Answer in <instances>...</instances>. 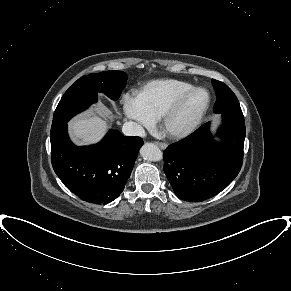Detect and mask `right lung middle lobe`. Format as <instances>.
I'll return each instance as SVG.
<instances>
[{
    "label": "right lung middle lobe",
    "mask_w": 291,
    "mask_h": 291,
    "mask_svg": "<svg viewBox=\"0 0 291 291\" xmlns=\"http://www.w3.org/2000/svg\"><path fill=\"white\" fill-rule=\"evenodd\" d=\"M126 80L127 74L122 71L93 73L78 79L61 98L53 116L51 133L95 103L98 92L104 93L112 100L118 99L126 86Z\"/></svg>",
    "instance_id": "obj_1"
}]
</instances>
